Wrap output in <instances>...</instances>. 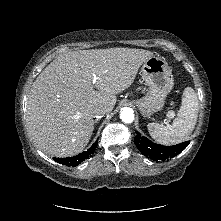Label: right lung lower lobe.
Wrapping results in <instances>:
<instances>
[{"instance_id":"obj_1","label":"right lung lower lobe","mask_w":221,"mask_h":221,"mask_svg":"<svg viewBox=\"0 0 221 221\" xmlns=\"http://www.w3.org/2000/svg\"><path fill=\"white\" fill-rule=\"evenodd\" d=\"M96 146H97V141L87 151L82 152L75 157L54 158V160L60 164L66 165V166H77L81 162L85 161L86 159H88L89 157H91L94 154V151L96 150Z\"/></svg>"}]
</instances>
